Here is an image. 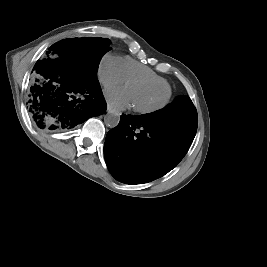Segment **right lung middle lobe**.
Here are the masks:
<instances>
[{"label":"right lung middle lobe","instance_id":"obj_1","mask_svg":"<svg viewBox=\"0 0 267 267\" xmlns=\"http://www.w3.org/2000/svg\"><path fill=\"white\" fill-rule=\"evenodd\" d=\"M110 44L107 38H69L55 43L48 52L68 58L82 76L96 80L100 60L111 50Z\"/></svg>","mask_w":267,"mask_h":267}]
</instances>
